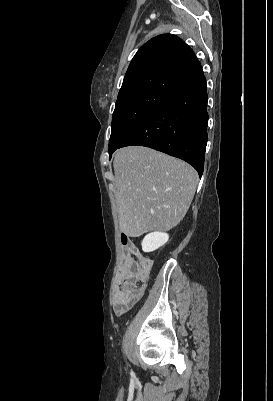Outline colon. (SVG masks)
<instances>
[{
  "instance_id": "obj_1",
  "label": "colon",
  "mask_w": 273,
  "mask_h": 401,
  "mask_svg": "<svg viewBox=\"0 0 273 401\" xmlns=\"http://www.w3.org/2000/svg\"><path fill=\"white\" fill-rule=\"evenodd\" d=\"M126 261L121 262L118 274L119 288H114V297H142L144 295L143 285L136 282H146L152 268L151 257H131L132 251H125Z\"/></svg>"
}]
</instances>
